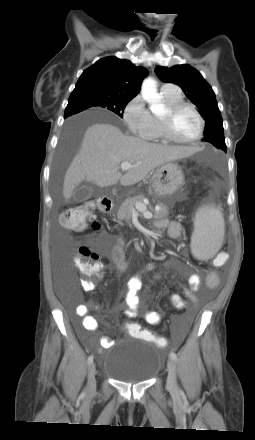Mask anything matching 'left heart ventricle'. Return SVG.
I'll use <instances>...</instances> for the list:
<instances>
[{"label":"left heart ventricle","mask_w":255,"mask_h":440,"mask_svg":"<svg viewBox=\"0 0 255 440\" xmlns=\"http://www.w3.org/2000/svg\"><path fill=\"white\" fill-rule=\"evenodd\" d=\"M167 114V110L161 117ZM199 129V121L196 115L189 109L180 111L172 120V130L174 135L181 140L193 138Z\"/></svg>","instance_id":"left-heart-ventricle-1"}]
</instances>
